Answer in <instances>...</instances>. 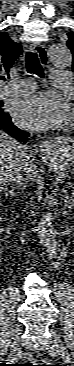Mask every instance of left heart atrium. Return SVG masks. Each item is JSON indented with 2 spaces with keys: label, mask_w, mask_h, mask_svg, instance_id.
<instances>
[{
  "label": "left heart atrium",
  "mask_w": 74,
  "mask_h": 366,
  "mask_svg": "<svg viewBox=\"0 0 74 366\" xmlns=\"http://www.w3.org/2000/svg\"><path fill=\"white\" fill-rule=\"evenodd\" d=\"M12 114L20 126L47 130L65 124L68 107L55 93L41 92L16 101L12 107Z\"/></svg>",
  "instance_id": "39dd6f15"
}]
</instances>
